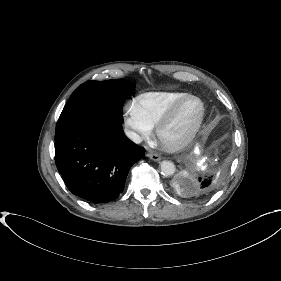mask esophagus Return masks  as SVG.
Masks as SVG:
<instances>
[{"mask_svg":"<svg viewBox=\"0 0 281 281\" xmlns=\"http://www.w3.org/2000/svg\"><path fill=\"white\" fill-rule=\"evenodd\" d=\"M147 156L152 159L153 161H160L161 160V156L157 153L154 152H150L147 154Z\"/></svg>","mask_w":281,"mask_h":281,"instance_id":"34e87169","label":"esophagus"}]
</instances>
